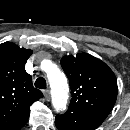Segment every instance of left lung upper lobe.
I'll list each match as a JSON object with an SVG mask.
<instances>
[{
	"label": "left lung upper lobe",
	"mask_w": 130,
	"mask_h": 130,
	"mask_svg": "<svg viewBox=\"0 0 130 130\" xmlns=\"http://www.w3.org/2000/svg\"><path fill=\"white\" fill-rule=\"evenodd\" d=\"M61 66L71 88V108L105 119L117 98V81L112 70L88 53L64 56Z\"/></svg>",
	"instance_id": "5c2ea615"
}]
</instances>
